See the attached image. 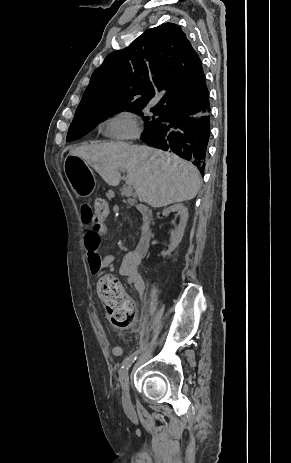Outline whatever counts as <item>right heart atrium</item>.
<instances>
[{
	"label": "right heart atrium",
	"instance_id": "obj_1",
	"mask_svg": "<svg viewBox=\"0 0 291 463\" xmlns=\"http://www.w3.org/2000/svg\"><path fill=\"white\" fill-rule=\"evenodd\" d=\"M107 136L114 139H130L138 135L136 116L129 111H121L111 116L105 125Z\"/></svg>",
	"mask_w": 291,
	"mask_h": 463
}]
</instances>
